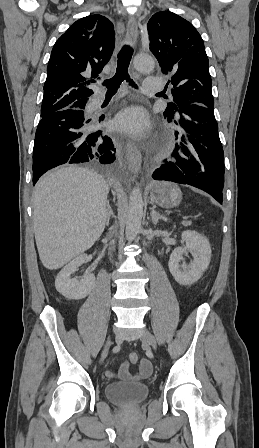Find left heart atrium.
<instances>
[{
    "label": "left heart atrium",
    "instance_id": "left-heart-atrium-1",
    "mask_svg": "<svg viewBox=\"0 0 259 448\" xmlns=\"http://www.w3.org/2000/svg\"><path fill=\"white\" fill-rule=\"evenodd\" d=\"M114 126L116 129L142 137L149 129L147 112L140 106H131L118 114Z\"/></svg>",
    "mask_w": 259,
    "mask_h": 448
}]
</instances>
